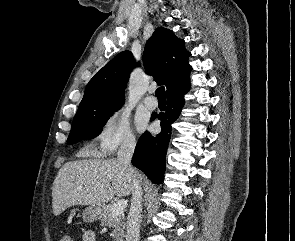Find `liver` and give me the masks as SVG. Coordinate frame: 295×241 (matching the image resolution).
Segmentation results:
<instances>
[{
	"label": "liver",
	"mask_w": 295,
	"mask_h": 241,
	"mask_svg": "<svg viewBox=\"0 0 295 241\" xmlns=\"http://www.w3.org/2000/svg\"><path fill=\"white\" fill-rule=\"evenodd\" d=\"M138 178L142 180L139 174ZM132 190L127 169L114 158L66 162L53 182V213L58 216L74 205H104L115 195L129 196Z\"/></svg>",
	"instance_id": "6515ba94"
}]
</instances>
